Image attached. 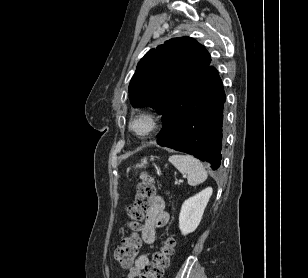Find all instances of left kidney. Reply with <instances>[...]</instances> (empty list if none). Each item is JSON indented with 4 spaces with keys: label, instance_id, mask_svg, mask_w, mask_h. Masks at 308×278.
<instances>
[{
    "label": "left kidney",
    "instance_id": "left-kidney-1",
    "mask_svg": "<svg viewBox=\"0 0 308 278\" xmlns=\"http://www.w3.org/2000/svg\"><path fill=\"white\" fill-rule=\"evenodd\" d=\"M212 192V188L208 187L184 201L179 214V228L183 235L197 229Z\"/></svg>",
    "mask_w": 308,
    "mask_h": 278
}]
</instances>
